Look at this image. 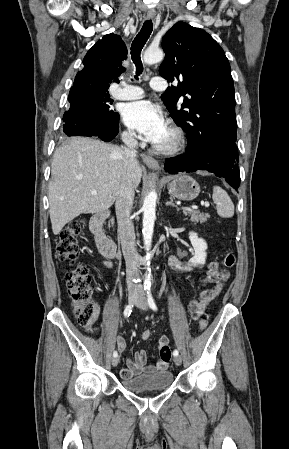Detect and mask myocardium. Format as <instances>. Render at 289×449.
<instances>
[{
  "label": "myocardium",
  "mask_w": 289,
  "mask_h": 449,
  "mask_svg": "<svg viewBox=\"0 0 289 449\" xmlns=\"http://www.w3.org/2000/svg\"><path fill=\"white\" fill-rule=\"evenodd\" d=\"M167 131L170 135V140L167 144H157L154 150L161 155H175L180 152L185 145V135L181 128L176 125H169Z\"/></svg>",
  "instance_id": "1"
}]
</instances>
